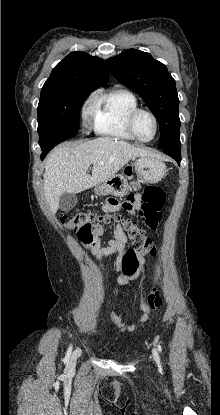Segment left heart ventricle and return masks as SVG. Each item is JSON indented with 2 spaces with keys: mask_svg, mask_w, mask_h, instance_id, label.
<instances>
[{
  "mask_svg": "<svg viewBox=\"0 0 220 415\" xmlns=\"http://www.w3.org/2000/svg\"><path fill=\"white\" fill-rule=\"evenodd\" d=\"M135 131L141 139H150L155 132V124L152 117L147 113L137 115L134 123Z\"/></svg>",
  "mask_w": 220,
  "mask_h": 415,
  "instance_id": "obj_1",
  "label": "left heart ventricle"
}]
</instances>
